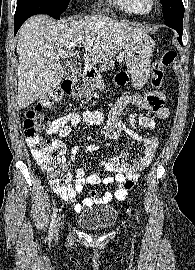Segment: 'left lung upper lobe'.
I'll return each instance as SVG.
<instances>
[{
  "label": "left lung upper lobe",
  "instance_id": "1",
  "mask_svg": "<svg viewBox=\"0 0 195 270\" xmlns=\"http://www.w3.org/2000/svg\"><path fill=\"white\" fill-rule=\"evenodd\" d=\"M165 24L171 28L183 26L184 6L182 0H161Z\"/></svg>",
  "mask_w": 195,
  "mask_h": 270
}]
</instances>
